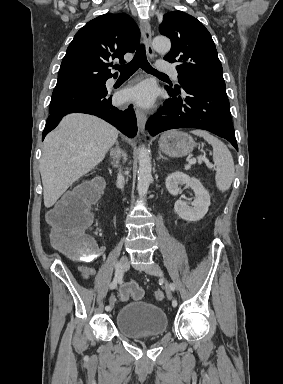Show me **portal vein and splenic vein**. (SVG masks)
I'll list each match as a JSON object with an SVG mask.
<instances>
[{"instance_id": "1", "label": "portal vein and splenic vein", "mask_w": 283, "mask_h": 384, "mask_svg": "<svg viewBox=\"0 0 283 384\" xmlns=\"http://www.w3.org/2000/svg\"><path fill=\"white\" fill-rule=\"evenodd\" d=\"M198 162H199V164H201V162H205L207 168H213L212 164H210V162H209V160H207V158H199ZM188 164H196L195 158H192V160H189Z\"/></svg>"}]
</instances>
